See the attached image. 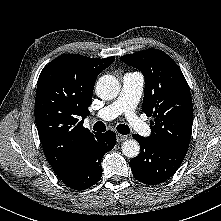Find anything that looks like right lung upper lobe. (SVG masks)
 Returning a JSON list of instances; mask_svg holds the SVG:
<instances>
[{"label":"right lung upper lobe","mask_w":221,"mask_h":221,"mask_svg":"<svg viewBox=\"0 0 221 221\" xmlns=\"http://www.w3.org/2000/svg\"><path fill=\"white\" fill-rule=\"evenodd\" d=\"M115 57L95 59L64 54L46 65L38 78L35 121L44 152L59 178L69 174L94 135L83 127L98 74Z\"/></svg>","instance_id":"right-lung-upper-lobe-1"}]
</instances>
